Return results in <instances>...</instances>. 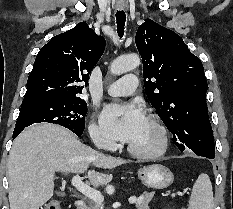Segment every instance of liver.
<instances>
[{"mask_svg":"<svg viewBox=\"0 0 233 209\" xmlns=\"http://www.w3.org/2000/svg\"><path fill=\"white\" fill-rule=\"evenodd\" d=\"M124 163L84 145L63 127H29L15 139L9 154L10 209H39L53 196L56 172H87L89 182L98 187L107 185L113 176L88 170L90 165L106 170Z\"/></svg>","mask_w":233,"mask_h":209,"instance_id":"6515ba94","label":"liver"}]
</instances>
